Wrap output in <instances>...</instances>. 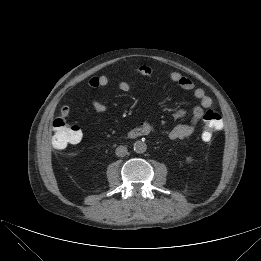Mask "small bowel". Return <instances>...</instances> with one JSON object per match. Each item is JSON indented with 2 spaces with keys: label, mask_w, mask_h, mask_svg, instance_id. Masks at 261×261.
<instances>
[{
  "label": "small bowel",
  "mask_w": 261,
  "mask_h": 261,
  "mask_svg": "<svg viewBox=\"0 0 261 261\" xmlns=\"http://www.w3.org/2000/svg\"><path fill=\"white\" fill-rule=\"evenodd\" d=\"M135 72L142 76H149L152 73V69L147 65H140L135 68ZM169 79L176 83L180 88L186 91H191L193 96L199 100V104L192 110V117L187 123L178 124L169 132V138L172 140H181L190 137L196 130L199 121L204 115L205 109L211 107L212 99L206 95L202 88L196 87L195 84L186 76L179 72H171ZM109 83V78L106 75L93 76L88 80V86L90 88L105 87ZM118 89L124 93H129L132 90L131 85L127 81H121L118 84ZM92 108L101 114L108 112V107L99 100H93L91 102ZM71 114V108L68 105H64L61 109V115L64 118L69 117ZM186 115L184 109H178L174 116L180 119ZM152 126L149 122L144 121L140 126L128 131L129 138H137L147 135L151 132Z\"/></svg>",
  "instance_id": "obj_1"
}]
</instances>
